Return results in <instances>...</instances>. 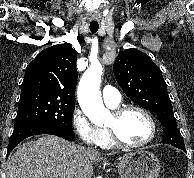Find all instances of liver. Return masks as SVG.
Masks as SVG:
<instances>
[{
	"mask_svg": "<svg viewBox=\"0 0 194 178\" xmlns=\"http://www.w3.org/2000/svg\"><path fill=\"white\" fill-rule=\"evenodd\" d=\"M102 159L95 150L46 135L15 151L7 162L6 178H91L92 162Z\"/></svg>",
	"mask_w": 194,
	"mask_h": 178,
	"instance_id": "6515ba94",
	"label": "liver"
}]
</instances>
